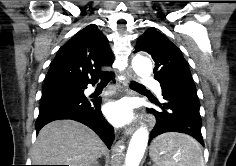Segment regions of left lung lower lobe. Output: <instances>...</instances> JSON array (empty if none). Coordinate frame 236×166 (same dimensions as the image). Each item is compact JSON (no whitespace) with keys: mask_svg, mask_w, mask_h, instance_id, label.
<instances>
[{"mask_svg":"<svg viewBox=\"0 0 236 166\" xmlns=\"http://www.w3.org/2000/svg\"><path fill=\"white\" fill-rule=\"evenodd\" d=\"M164 103L153 102L163 111L148 109L156 117L150 140L165 132L186 133L204 145L200 102L193 82L174 80L161 84Z\"/></svg>","mask_w":236,"mask_h":166,"instance_id":"left-lung-lower-lobe-1","label":"left lung lower lobe"}]
</instances>
